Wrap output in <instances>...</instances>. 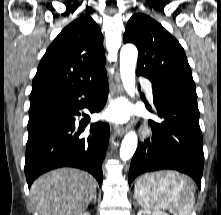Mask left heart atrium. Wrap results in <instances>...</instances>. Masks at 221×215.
I'll return each instance as SVG.
<instances>
[{
	"mask_svg": "<svg viewBox=\"0 0 221 215\" xmlns=\"http://www.w3.org/2000/svg\"><path fill=\"white\" fill-rule=\"evenodd\" d=\"M107 116L116 121H125L128 118V110L123 104L116 103L107 112Z\"/></svg>",
	"mask_w": 221,
	"mask_h": 215,
	"instance_id": "39dd6f15",
	"label": "left heart atrium"
}]
</instances>
